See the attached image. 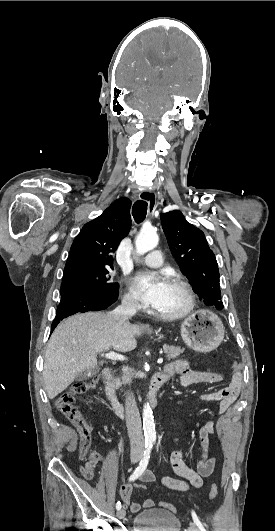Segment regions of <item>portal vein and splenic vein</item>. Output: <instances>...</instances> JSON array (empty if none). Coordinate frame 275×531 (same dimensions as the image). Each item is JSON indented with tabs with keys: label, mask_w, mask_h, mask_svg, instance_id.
<instances>
[{
	"label": "portal vein and splenic vein",
	"mask_w": 275,
	"mask_h": 531,
	"mask_svg": "<svg viewBox=\"0 0 275 531\" xmlns=\"http://www.w3.org/2000/svg\"><path fill=\"white\" fill-rule=\"evenodd\" d=\"M105 357L106 359H112V361H126V357L118 355V353H113V351L106 353ZM157 363H163V359H158Z\"/></svg>",
	"instance_id": "portal-vein-and-splenic-vein-1"
}]
</instances>
